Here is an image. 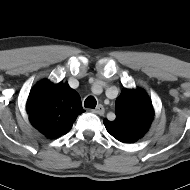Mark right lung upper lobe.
Masks as SVG:
<instances>
[{
    "mask_svg": "<svg viewBox=\"0 0 190 190\" xmlns=\"http://www.w3.org/2000/svg\"><path fill=\"white\" fill-rule=\"evenodd\" d=\"M27 113L32 125L48 138L70 131L83 110L79 94L67 82H39L29 94Z\"/></svg>",
    "mask_w": 190,
    "mask_h": 190,
    "instance_id": "cb5924a9",
    "label": "right lung upper lobe"
}]
</instances>
